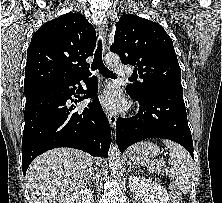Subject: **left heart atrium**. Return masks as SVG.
Instances as JSON below:
<instances>
[{"label": "left heart atrium", "instance_id": "1", "mask_svg": "<svg viewBox=\"0 0 222 203\" xmlns=\"http://www.w3.org/2000/svg\"><path fill=\"white\" fill-rule=\"evenodd\" d=\"M101 101L110 109H118L121 106V100L115 89H107L101 96Z\"/></svg>", "mask_w": 222, "mask_h": 203}]
</instances>
